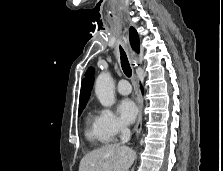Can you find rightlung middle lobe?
<instances>
[{
  "mask_svg": "<svg viewBox=\"0 0 223 171\" xmlns=\"http://www.w3.org/2000/svg\"><path fill=\"white\" fill-rule=\"evenodd\" d=\"M84 108H85V106L79 107L78 116L82 113Z\"/></svg>",
  "mask_w": 223,
  "mask_h": 171,
  "instance_id": "right-lung-middle-lobe-1",
  "label": "right lung middle lobe"
}]
</instances>
